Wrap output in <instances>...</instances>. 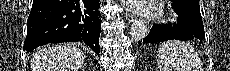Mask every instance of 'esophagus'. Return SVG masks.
I'll return each mask as SVG.
<instances>
[{
    "label": "esophagus",
    "mask_w": 230,
    "mask_h": 71,
    "mask_svg": "<svg viewBox=\"0 0 230 71\" xmlns=\"http://www.w3.org/2000/svg\"><path fill=\"white\" fill-rule=\"evenodd\" d=\"M125 17L128 22H133L136 18L135 15L128 8H126Z\"/></svg>",
    "instance_id": "34e87169"
}]
</instances>
